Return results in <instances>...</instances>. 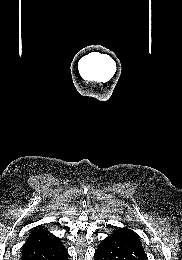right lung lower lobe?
Returning a JSON list of instances; mask_svg holds the SVG:
<instances>
[{
  "label": "right lung lower lobe",
  "mask_w": 182,
  "mask_h": 260,
  "mask_svg": "<svg viewBox=\"0 0 182 260\" xmlns=\"http://www.w3.org/2000/svg\"><path fill=\"white\" fill-rule=\"evenodd\" d=\"M21 260H68V252L58 240L22 250Z\"/></svg>",
  "instance_id": "1"
}]
</instances>
